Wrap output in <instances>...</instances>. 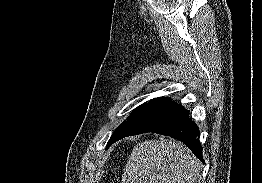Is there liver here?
Listing matches in <instances>:
<instances>
[{
	"mask_svg": "<svg viewBox=\"0 0 262 183\" xmlns=\"http://www.w3.org/2000/svg\"><path fill=\"white\" fill-rule=\"evenodd\" d=\"M200 162L174 139L146 140L132 150L123 183H194Z\"/></svg>",
	"mask_w": 262,
	"mask_h": 183,
	"instance_id": "liver-1",
	"label": "liver"
}]
</instances>
